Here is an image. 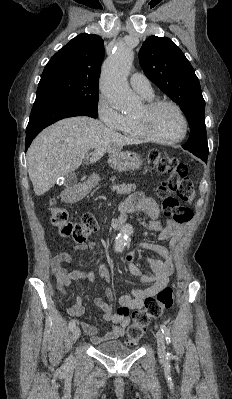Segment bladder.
<instances>
[{"label":"bladder","instance_id":"31cf9c89","mask_svg":"<svg viewBox=\"0 0 232 399\" xmlns=\"http://www.w3.org/2000/svg\"><path fill=\"white\" fill-rule=\"evenodd\" d=\"M95 349L108 357L121 358L128 356L134 352V349L125 345L119 340H113L98 344Z\"/></svg>","mask_w":232,"mask_h":399}]
</instances>
